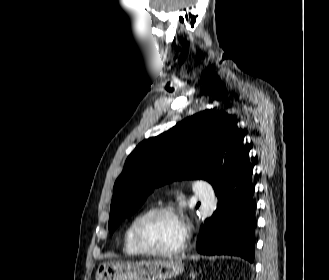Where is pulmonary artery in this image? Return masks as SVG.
Returning <instances> with one entry per match:
<instances>
[{
  "instance_id": "obj_1",
  "label": "pulmonary artery",
  "mask_w": 329,
  "mask_h": 280,
  "mask_svg": "<svg viewBox=\"0 0 329 280\" xmlns=\"http://www.w3.org/2000/svg\"><path fill=\"white\" fill-rule=\"evenodd\" d=\"M197 196L203 201L207 202L212 198V186L206 181H197L195 184Z\"/></svg>"
}]
</instances>
